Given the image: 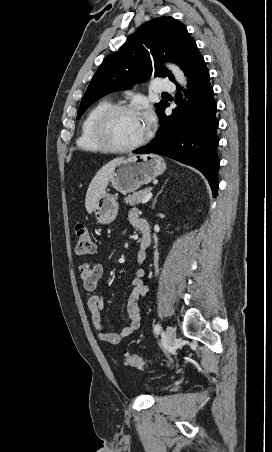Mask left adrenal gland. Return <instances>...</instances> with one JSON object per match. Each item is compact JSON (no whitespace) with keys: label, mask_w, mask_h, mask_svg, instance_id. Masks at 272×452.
<instances>
[{"label":"left adrenal gland","mask_w":272,"mask_h":452,"mask_svg":"<svg viewBox=\"0 0 272 452\" xmlns=\"http://www.w3.org/2000/svg\"><path fill=\"white\" fill-rule=\"evenodd\" d=\"M167 182H168V180H166V182H165L164 185L162 186L161 190L157 193L156 197L153 199V202H152V208H153V209L155 208V204H156V202H157L158 196H159V195L161 194V192L163 191V188H164V186L166 185Z\"/></svg>","instance_id":"1"}]
</instances>
